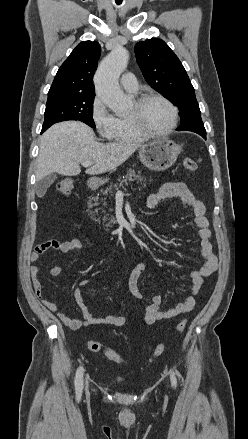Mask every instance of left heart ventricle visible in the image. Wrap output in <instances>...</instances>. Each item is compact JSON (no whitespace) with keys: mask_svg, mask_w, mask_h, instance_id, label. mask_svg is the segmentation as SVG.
Returning a JSON list of instances; mask_svg holds the SVG:
<instances>
[{"mask_svg":"<svg viewBox=\"0 0 248 439\" xmlns=\"http://www.w3.org/2000/svg\"><path fill=\"white\" fill-rule=\"evenodd\" d=\"M135 110L132 107L131 115ZM145 126L154 132H162L169 128L172 122V112L170 108L161 100L153 99L148 101L142 111Z\"/></svg>","mask_w":248,"mask_h":439,"instance_id":"b2bd125f","label":"left heart ventricle"}]
</instances>
